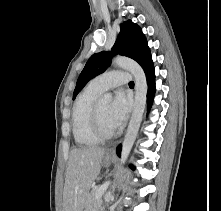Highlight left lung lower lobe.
<instances>
[{
  "instance_id": "1",
  "label": "left lung lower lobe",
  "mask_w": 221,
  "mask_h": 211,
  "mask_svg": "<svg viewBox=\"0 0 221 211\" xmlns=\"http://www.w3.org/2000/svg\"><path fill=\"white\" fill-rule=\"evenodd\" d=\"M142 68L144 69V72H145V75H146V78H147V83H148L147 98H148V109H149L151 104H152L154 93H155V73H154V67H153L152 59L149 58L143 64ZM116 152H117L118 156H120L121 146H118Z\"/></svg>"
}]
</instances>
